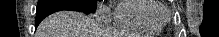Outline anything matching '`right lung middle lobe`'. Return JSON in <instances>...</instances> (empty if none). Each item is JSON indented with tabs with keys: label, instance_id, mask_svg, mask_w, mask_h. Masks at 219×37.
I'll list each match as a JSON object with an SVG mask.
<instances>
[{
	"label": "right lung middle lobe",
	"instance_id": "obj_1",
	"mask_svg": "<svg viewBox=\"0 0 219 37\" xmlns=\"http://www.w3.org/2000/svg\"><path fill=\"white\" fill-rule=\"evenodd\" d=\"M97 0H39L37 9H42L54 4H69L77 9L91 14L95 12Z\"/></svg>",
	"mask_w": 219,
	"mask_h": 37
}]
</instances>
